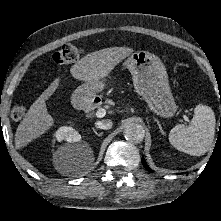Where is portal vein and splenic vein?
I'll return each instance as SVG.
<instances>
[{"mask_svg":"<svg viewBox=\"0 0 221 221\" xmlns=\"http://www.w3.org/2000/svg\"><path fill=\"white\" fill-rule=\"evenodd\" d=\"M105 115H106V110L103 109V108L98 109V110L96 111V113H95V116H96L97 118H102V117H104ZM183 118H184L185 121H189V119H188V117H187L186 115H184Z\"/></svg>","mask_w":221,"mask_h":221,"instance_id":"portal-vein-and-splenic-vein-1","label":"portal vein and splenic vein"}]
</instances>
